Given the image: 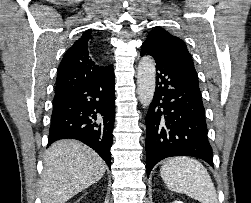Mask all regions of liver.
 Instances as JSON below:
<instances>
[{
	"instance_id": "obj_1",
	"label": "liver",
	"mask_w": 251,
	"mask_h": 203,
	"mask_svg": "<svg viewBox=\"0 0 251 203\" xmlns=\"http://www.w3.org/2000/svg\"><path fill=\"white\" fill-rule=\"evenodd\" d=\"M105 163L91 148L76 140L52 144L44 157L42 203H65L105 173Z\"/></svg>"
}]
</instances>
